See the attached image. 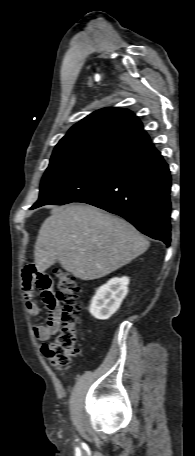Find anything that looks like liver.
Listing matches in <instances>:
<instances>
[{
    "instance_id": "1",
    "label": "liver",
    "mask_w": 195,
    "mask_h": 456,
    "mask_svg": "<svg viewBox=\"0 0 195 456\" xmlns=\"http://www.w3.org/2000/svg\"><path fill=\"white\" fill-rule=\"evenodd\" d=\"M148 240L130 223L96 207L69 204L53 209L35 245L44 272L56 261L81 280L104 277L143 254Z\"/></svg>"
}]
</instances>
